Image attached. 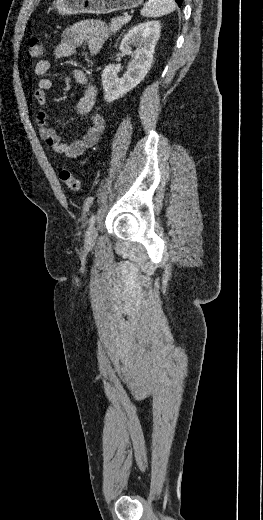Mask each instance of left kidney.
Returning <instances> with one entry per match:
<instances>
[{"mask_svg": "<svg viewBox=\"0 0 263 520\" xmlns=\"http://www.w3.org/2000/svg\"><path fill=\"white\" fill-rule=\"evenodd\" d=\"M161 25L158 21L141 23L123 37L120 51L124 54L131 53L132 46L137 47L129 68L122 78H119V69L108 65L102 73V85L104 99L112 102L135 88L147 75L152 62L156 43L160 37Z\"/></svg>", "mask_w": 263, "mask_h": 520, "instance_id": "obj_1", "label": "left kidney"}]
</instances>
